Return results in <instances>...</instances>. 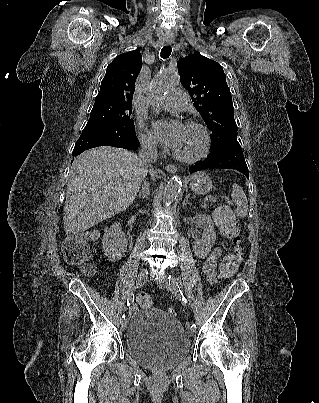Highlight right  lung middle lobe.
Wrapping results in <instances>:
<instances>
[{
	"label": "right lung middle lobe",
	"mask_w": 319,
	"mask_h": 403,
	"mask_svg": "<svg viewBox=\"0 0 319 403\" xmlns=\"http://www.w3.org/2000/svg\"><path fill=\"white\" fill-rule=\"evenodd\" d=\"M132 105L95 102L90 113V119L86 127L96 125H120L134 131V123L130 118Z\"/></svg>",
	"instance_id": "obj_1"
}]
</instances>
